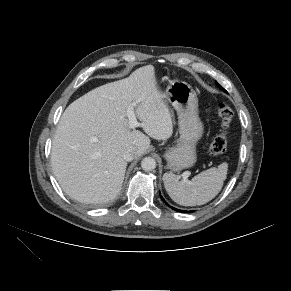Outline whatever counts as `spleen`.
<instances>
[{"label":"spleen","mask_w":291,"mask_h":291,"mask_svg":"<svg viewBox=\"0 0 291 291\" xmlns=\"http://www.w3.org/2000/svg\"><path fill=\"white\" fill-rule=\"evenodd\" d=\"M228 164H220L194 176L191 181H179L172 173L163 175L165 189L179 205L196 206L211 201L222 189Z\"/></svg>","instance_id":"obj_1"}]
</instances>
